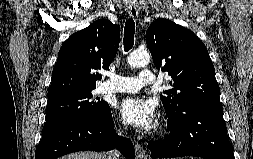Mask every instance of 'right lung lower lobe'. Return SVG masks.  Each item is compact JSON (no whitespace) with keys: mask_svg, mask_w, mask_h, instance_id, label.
<instances>
[{"mask_svg":"<svg viewBox=\"0 0 253 159\" xmlns=\"http://www.w3.org/2000/svg\"><path fill=\"white\" fill-rule=\"evenodd\" d=\"M110 108L100 118H79L42 135L35 159H56L76 151H109L117 148L127 159H135L130 139L119 137L112 126Z\"/></svg>","mask_w":253,"mask_h":159,"instance_id":"obj_1","label":"right lung lower lobe"}]
</instances>
